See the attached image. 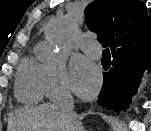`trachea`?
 <instances>
[{
	"instance_id": "1",
	"label": "trachea",
	"mask_w": 151,
	"mask_h": 131,
	"mask_svg": "<svg viewBox=\"0 0 151 131\" xmlns=\"http://www.w3.org/2000/svg\"><path fill=\"white\" fill-rule=\"evenodd\" d=\"M102 60L106 61V62H110L111 61V55H110V51L108 48H106L103 53H102Z\"/></svg>"
}]
</instances>
